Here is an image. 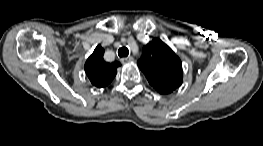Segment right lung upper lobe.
Listing matches in <instances>:
<instances>
[{
    "mask_svg": "<svg viewBox=\"0 0 263 146\" xmlns=\"http://www.w3.org/2000/svg\"><path fill=\"white\" fill-rule=\"evenodd\" d=\"M104 49L98 45L85 62V72L91 83L102 88L107 86L117 74V68L121 65L118 61L112 63L103 59Z\"/></svg>",
    "mask_w": 263,
    "mask_h": 146,
    "instance_id": "1",
    "label": "right lung upper lobe"
}]
</instances>
